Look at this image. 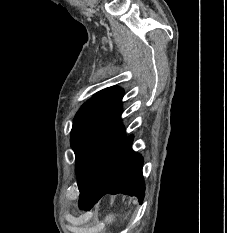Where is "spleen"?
<instances>
[{"label":"spleen","mask_w":227,"mask_h":233,"mask_svg":"<svg viewBox=\"0 0 227 233\" xmlns=\"http://www.w3.org/2000/svg\"><path fill=\"white\" fill-rule=\"evenodd\" d=\"M114 215L113 214H110L106 217L105 221L106 223H112L114 221Z\"/></svg>","instance_id":"3e777b00"}]
</instances>
